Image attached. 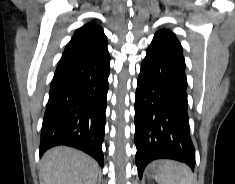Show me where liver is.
Segmentation results:
<instances>
[{"label": "liver", "instance_id": "obj_1", "mask_svg": "<svg viewBox=\"0 0 235 184\" xmlns=\"http://www.w3.org/2000/svg\"><path fill=\"white\" fill-rule=\"evenodd\" d=\"M98 164L79 150L56 146L44 154L39 178L41 184H96Z\"/></svg>", "mask_w": 235, "mask_h": 184}]
</instances>
